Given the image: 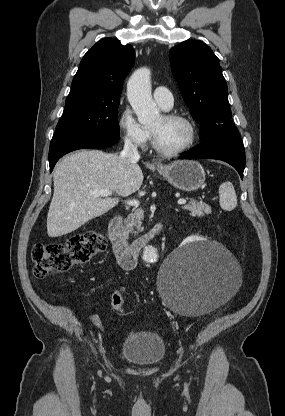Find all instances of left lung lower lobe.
I'll return each mask as SVG.
<instances>
[{"label": "left lung lower lobe", "instance_id": "0a47b994", "mask_svg": "<svg viewBox=\"0 0 285 416\" xmlns=\"http://www.w3.org/2000/svg\"><path fill=\"white\" fill-rule=\"evenodd\" d=\"M179 158L222 160L232 165L243 179L245 150L239 132L226 133L206 139L200 145L184 152Z\"/></svg>", "mask_w": 285, "mask_h": 416}]
</instances>
